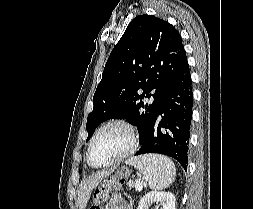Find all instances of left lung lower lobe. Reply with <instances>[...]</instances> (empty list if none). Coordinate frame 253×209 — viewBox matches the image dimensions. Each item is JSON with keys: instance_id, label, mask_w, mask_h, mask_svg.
<instances>
[{"instance_id": "obj_1", "label": "left lung lower lobe", "mask_w": 253, "mask_h": 209, "mask_svg": "<svg viewBox=\"0 0 253 209\" xmlns=\"http://www.w3.org/2000/svg\"><path fill=\"white\" fill-rule=\"evenodd\" d=\"M193 92L187 58L168 85L160 111L135 155L159 153L176 159L187 171Z\"/></svg>"}]
</instances>
